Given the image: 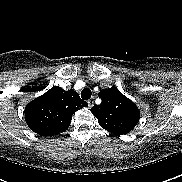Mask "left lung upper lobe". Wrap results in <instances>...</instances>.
Instances as JSON below:
<instances>
[{
    "label": "left lung upper lobe",
    "instance_id": "1",
    "mask_svg": "<svg viewBox=\"0 0 182 182\" xmlns=\"http://www.w3.org/2000/svg\"><path fill=\"white\" fill-rule=\"evenodd\" d=\"M98 96L102 102L100 105H94L91 112L102 128L123 135L137 125L140 119L138 107L115 86L100 91Z\"/></svg>",
    "mask_w": 182,
    "mask_h": 182
}]
</instances>
